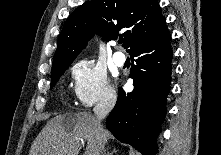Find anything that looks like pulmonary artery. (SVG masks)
<instances>
[{
  "label": "pulmonary artery",
  "instance_id": "obj_1",
  "mask_svg": "<svg viewBox=\"0 0 221 155\" xmlns=\"http://www.w3.org/2000/svg\"><path fill=\"white\" fill-rule=\"evenodd\" d=\"M113 61L117 66L121 67L125 64L126 57L124 53H122L121 51H117L113 54Z\"/></svg>",
  "mask_w": 221,
  "mask_h": 155
}]
</instances>
